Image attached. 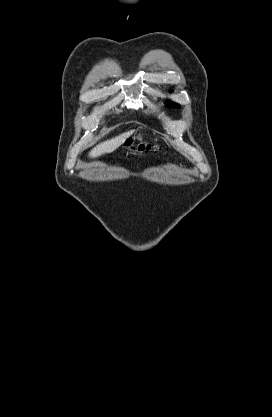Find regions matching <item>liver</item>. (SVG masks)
I'll list each match as a JSON object with an SVG mask.
<instances>
[{
    "mask_svg": "<svg viewBox=\"0 0 272 417\" xmlns=\"http://www.w3.org/2000/svg\"><path fill=\"white\" fill-rule=\"evenodd\" d=\"M134 130H130L128 132H125L115 138H112L110 140L104 141L100 144H98L96 147H94L90 152L89 156L91 158H96L99 156H102L106 153H110L117 149L120 145H122L125 140L132 135Z\"/></svg>",
    "mask_w": 272,
    "mask_h": 417,
    "instance_id": "liver-1",
    "label": "liver"
}]
</instances>
